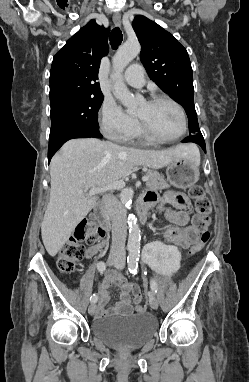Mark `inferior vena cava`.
Masks as SVG:
<instances>
[{
    "label": "inferior vena cava",
    "mask_w": 249,
    "mask_h": 382,
    "mask_svg": "<svg viewBox=\"0 0 249 382\" xmlns=\"http://www.w3.org/2000/svg\"><path fill=\"white\" fill-rule=\"evenodd\" d=\"M103 203L106 213L112 221V245L110 257H117L124 263L125 259V241L127 235L126 229V210L119 200L111 194L103 197Z\"/></svg>",
    "instance_id": "obj_1"
}]
</instances>
